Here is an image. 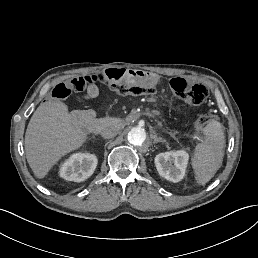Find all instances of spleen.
I'll list each match as a JSON object with an SVG mask.
<instances>
[{"label": "spleen", "mask_w": 258, "mask_h": 258, "mask_svg": "<svg viewBox=\"0 0 258 258\" xmlns=\"http://www.w3.org/2000/svg\"><path fill=\"white\" fill-rule=\"evenodd\" d=\"M205 139L199 143L192 158V167L195 179L199 184L205 185L214 177L217 170L221 167L225 136L221 123L212 121L203 129Z\"/></svg>", "instance_id": "obj_1"}]
</instances>
